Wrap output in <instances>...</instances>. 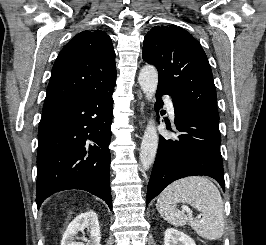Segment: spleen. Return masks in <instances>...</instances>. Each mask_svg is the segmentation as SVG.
Listing matches in <instances>:
<instances>
[{"label":"spleen","instance_id":"1","mask_svg":"<svg viewBox=\"0 0 266 245\" xmlns=\"http://www.w3.org/2000/svg\"><path fill=\"white\" fill-rule=\"evenodd\" d=\"M177 203H187L201 213V219L191 217L176 209ZM157 211L174 227L189 223L202 239L217 241L224 233V203L215 185L206 177H186L166 187L159 195Z\"/></svg>","mask_w":266,"mask_h":245}]
</instances>
